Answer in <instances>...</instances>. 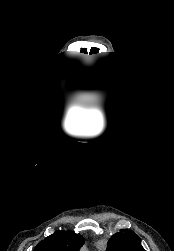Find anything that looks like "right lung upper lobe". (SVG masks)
<instances>
[{"mask_svg": "<svg viewBox=\"0 0 174 251\" xmlns=\"http://www.w3.org/2000/svg\"><path fill=\"white\" fill-rule=\"evenodd\" d=\"M84 243L81 235L72 231H56L46 237L34 251H78Z\"/></svg>", "mask_w": 174, "mask_h": 251, "instance_id": "obj_1", "label": "right lung upper lobe"}]
</instances>
